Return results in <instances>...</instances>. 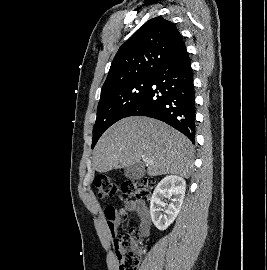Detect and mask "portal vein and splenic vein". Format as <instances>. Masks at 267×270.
I'll list each match as a JSON object with an SVG mask.
<instances>
[{
    "label": "portal vein and splenic vein",
    "instance_id": "1",
    "mask_svg": "<svg viewBox=\"0 0 267 270\" xmlns=\"http://www.w3.org/2000/svg\"><path fill=\"white\" fill-rule=\"evenodd\" d=\"M143 161L145 162V163H149V161L147 160V158H145V157H143Z\"/></svg>",
    "mask_w": 267,
    "mask_h": 270
}]
</instances>
